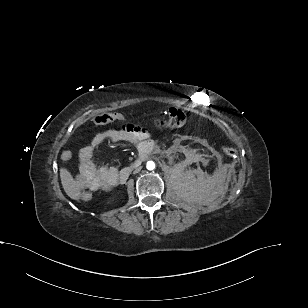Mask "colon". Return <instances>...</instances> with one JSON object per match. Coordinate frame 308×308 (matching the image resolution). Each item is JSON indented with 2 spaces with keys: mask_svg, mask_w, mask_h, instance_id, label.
Returning <instances> with one entry per match:
<instances>
[{
  "mask_svg": "<svg viewBox=\"0 0 308 308\" xmlns=\"http://www.w3.org/2000/svg\"><path fill=\"white\" fill-rule=\"evenodd\" d=\"M125 117L121 113L110 112L103 113L94 118V123L97 125H104L114 121L124 120ZM186 122V114L183 110L172 107L168 110L165 116L157 118L154 120L155 128L162 129H170L181 127ZM223 152L228 157H235L236 150L232 147H224ZM79 198L82 201H90L93 198V193L89 189H84L80 192Z\"/></svg>",
  "mask_w": 308,
  "mask_h": 308,
  "instance_id": "obj_1",
  "label": "colon"
}]
</instances>
